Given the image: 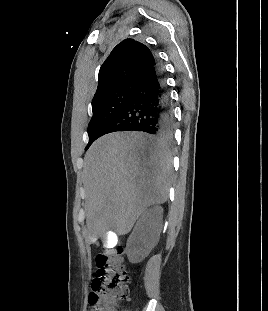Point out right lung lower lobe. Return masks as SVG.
Listing matches in <instances>:
<instances>
[{
    "label": "right lung lower lobe",
    "mask_w": 268,
    "mask_h": 311,
    "mask_svg": "<svg viewBox=\"0 0 268 311\" xmlns=\"http://www.w3.org/2000/svg\"><path fill=\"white\" fill-rule=\"evenodd\" d=\"M174 118L166 90L163 70L155 61L135 84V91L119 115L107 127L105 134L116 131H142L170 141Z\"/></svg>",
    "instance_id": "98d812e1"
}]
</instances>
